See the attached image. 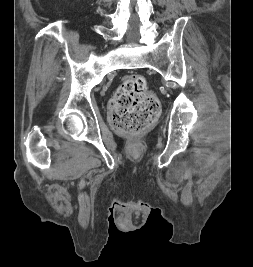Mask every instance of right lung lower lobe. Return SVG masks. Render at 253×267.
Instances as JSON below:
<instances>
[{
	"label": "right lung lower lobe",
	"instance_id": "1",
	"mask_svg": "<svg viewBox=\"0 0 253 267\" xmlns=\"http://www.w3.org/2000/svg\"><path fill=\"white\" fill-rule=\"evenodd\" d=\"M160 213L161 211L157 209V210H152L150 215L156 217V216H160Z\"/></svg>",
	"mask_w": 253,
	"mask_h": 267
}]
</instances>
